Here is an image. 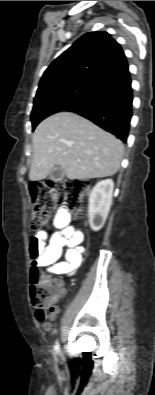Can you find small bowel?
<instances>
[{
    "instance_id": "small-bowel-1",
    "label": "small bowel",
    "mask_w": 155,
    "mask_h": 395,
    "mask_svg": "<svg viewBox=\"0 0 155 395\" xmlns=\"http://www.w3.org/2000/svg\"><path fill=\"white\" fill-rule=\"evenodd\" d=\"M53 225L57 229L49 237L45 231H39L36 237H31L28 242L27 260L35 270H44L54 274L70 275L82 263L83 234L74 229L70 222V214L60 209L54 216ZM65 260L59 261L63 250ZM59 312L54 310L35 311V317L45 330H50L52 320Z\"/></svg>"
}]
</instances>
